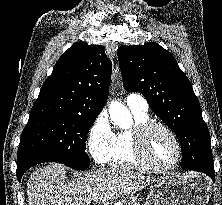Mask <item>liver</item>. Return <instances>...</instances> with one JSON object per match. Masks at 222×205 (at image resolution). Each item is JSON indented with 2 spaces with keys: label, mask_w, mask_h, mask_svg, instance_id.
Returning <instances> with one entry per match:
<instances>
[{
  "label": "liver",
  "mask_w": 222,
  "mask_h": 205,
  "mask_svg": "<svg viewBox=\"0 0 222 205\" xmlns=\"http://www.w3.org/2000/svg\"><path fill=\"white\" fill-rule=\"evenodd\" d=\"M156 181L125 166L76 173L68 179L66 167L57 163L36 169L28 180V205H90L133 195Z\"/></svg>",
  "instance_id": "1"
}]
</instances>
